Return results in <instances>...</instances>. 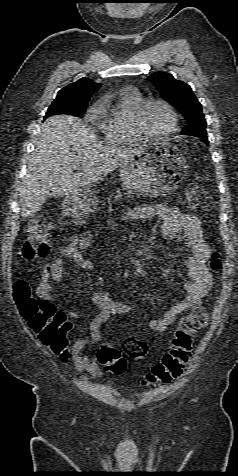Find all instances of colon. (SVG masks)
<instances>
[{
  "label": "colon",
  "mask_w": 238,
  "mask_h": 476,
  "mask_svg": "<svg viewBox=\"0 0 238 476\" xmlns=\"http://www.w3.org/2000/svg\"><path fill=\"white\" fill-rule=\"evenodd\" d=\"M186 202L190 209L206 213L213 207V200L206 191L196 184H190L186 191ZM49 227L41 218L32 219L27 228V237L21 248L26 260L44 258L49 254ZM212 270L222 267L218 252L210 257ZM13 294L21 316L28 323L40 342L56 354L63 355L68 350V335L71 329L66 316L48 301L36 299L25 281H17ZM209 325V316L205 307L196 306L184 316L171 339L169 351L143 377L144 385L168 383L182 375L190 358L195 334ZM148 353V344L144 339L128 338L122 344V351L103 345L97 353L99 363L114 374H122L126 369V357L142 360Z\"/></svg>",
  "instance_id": "5ec220e1"
}]
</instances>
